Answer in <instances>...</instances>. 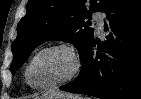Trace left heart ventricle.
<instances>
[{
	"mask_svg": "<svg viewBox=\"0 0 141 99\" xmlns=\"http://www.w3.org/2000/svg\"><path fill=\"white\" fill-rule=\"evenodd\" d=\"M73 69L71 55L61 49L41 54L32 64L29 78L34 85H47L68 76Z\"/></svg>",
	"mask_w": 141,
	"mask_h": 99,
	"instance_id": "left-heart-ventricle-1",
	"label": "left heart ventricle"
}]
</instances>
